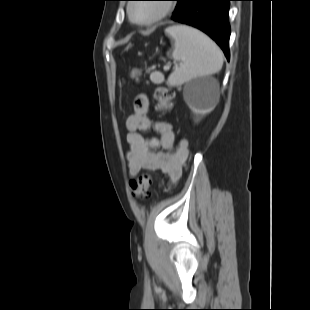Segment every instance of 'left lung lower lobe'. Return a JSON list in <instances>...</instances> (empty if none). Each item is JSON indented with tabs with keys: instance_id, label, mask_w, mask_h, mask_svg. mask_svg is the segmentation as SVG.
Wrapping results in <instances>:
<instances>
[{
	"instance_id": "0a47b994",
	"label": "left lung lower lobe",
	"mask_w": 310,
	"mask_h": 310,
	"mask_svg": "<svg viewBox=\"0 0 310 310\" xmlns=\"http://www.w3.org/2000/svg\"><path fill=\"white\" fill-rule=\"evenodd\" d=\"M229 1L233 0H186L173 20L198 28L209 35L229 60Z\"/></svg>"
}]
</instances>
